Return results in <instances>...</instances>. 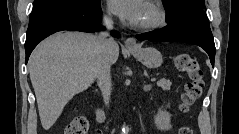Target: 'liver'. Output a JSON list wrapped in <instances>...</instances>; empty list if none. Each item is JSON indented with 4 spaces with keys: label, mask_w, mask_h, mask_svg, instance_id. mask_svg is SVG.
I'll return each mask as SVG.
<instances>
[{
    "label": "liver",
    "mask_w": 239,
    "mask_h": 134,
    "mask_svg": "<svg viewBox=\"0 0 239 134\" xmlns=\"http://www.w3.org/2000/svg\"><path fill=\"white\" fill-rule=\"evenodd\" d=\"M98 37L81 32L57 33L32 52L28 68L37 99L42 127L50 129L65 105L94 82ZM119 57V46L111 47V62Z\"/></svg>",
    "instance_id": "1"
}]
</instances>
